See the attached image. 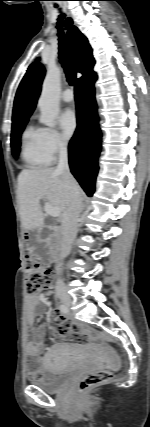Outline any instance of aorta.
<instances>
[{"mask_svg":"<svg viewBox=\"0 0 150 427\" xmlns=\"http://www.w3.org/2000/svg\"><path fill=\"white\" fill-rule=\"evenodd\" d=\"M61 71L58 67H50L42 85V92L38 101L41 111L40 122L55 126V119L59 113Z\"/></svg>","mask_w":150,"mask_h":427,"instance_id":"762f6f07","label":"aorta"}]
</instances>
